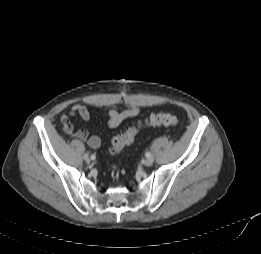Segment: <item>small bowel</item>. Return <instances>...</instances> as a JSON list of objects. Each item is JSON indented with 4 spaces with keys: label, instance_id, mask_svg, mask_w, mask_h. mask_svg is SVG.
Returning a JSON list of instances; mask_svg holds the SVG:
<instances>
[{
    "label": "small bowel",
    "instance_id": "1",
    "mask_svg": "<svg viewBox=\"0 0 261 254\" xmlns=\"http://www.w3.org/2000/svg\"><path fill=\"white\" fill-rule=\"evenodd\" d=\"M140 114V109L138 107H130L122 111H117L111 109L107 111V124L110 128L118 127L124 120L129 118H134ZM79 116L82 120L88 121L91 117L88 107L84 104L77 103L74 104L68 114H63L61 116V123L63 131L69 135L73 136L81 141L87 142L90 148L97 149L101 145V140L98 136H90L88 131L85 129L75 130L71 117Z\"/></svg>",
    "mask_w": 261,
    "mask_h": 254
}]
</instances>
